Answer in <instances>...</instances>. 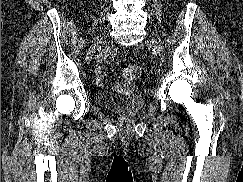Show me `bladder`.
<instances>
[{
	"mask_svg": "<svg viewBox=\"0 0 243 182\" xmlns=\"http://www.w3.org/2000/svg\"><path fill=\"white\" fill-rule=\"evenodd\" d=\"M95 102L105 109L124 115H134L144 107L143 98L132 93L126 95L124 93L98 91L95 94Z\"/></svg>",
	"mask_w": 243,
	"mask_h": 182,
	"instance_id": "1",
	"label": "bladder"
}]
</instances>
